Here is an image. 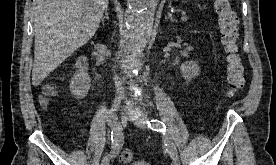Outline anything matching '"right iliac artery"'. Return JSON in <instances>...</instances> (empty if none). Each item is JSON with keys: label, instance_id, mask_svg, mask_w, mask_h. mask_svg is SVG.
<instances>
[{"label": "right iliac artery", "instance_id": "82829eb1", "mask_svg": "<svg viewBox=\"0 0 276 165\" xmlns=\"http://www.w3.org/2000/svg\"><path fill=\"white\" fill-rule=\"evenodd\" d=\"M108 125L111 128V141H112V147L110 152V157L115 156L121 147L122 140H123V133L120 123L117 119H111L109 116H107Z\"/></svg>", "mask_w": 276, "mask_h": 165}]
</instances>
